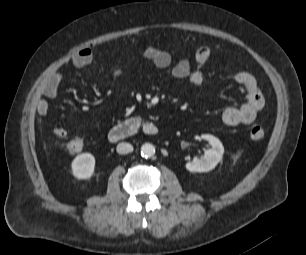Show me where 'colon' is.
<instances>
[{
	"instance_id": "5ec220e1",
	"label": "colon",
	"mask_w": 306,
	"mask_h": 255,
	"mask_svg": "<svg viewBox=\"0 0 306 255\" xmlns=\"http://www.w3.org/2000/svg\"><path fill=\"white\" fill-rule=\"evenodd\" d=\"M265 136V130L260 125H255L250 130V137L253 140H261ZM84 147V140L81 137H76L68 142L66 148L70 154L79 153Z\"/></svg>"
}]
</instances>
